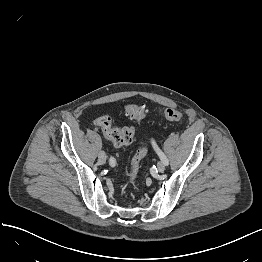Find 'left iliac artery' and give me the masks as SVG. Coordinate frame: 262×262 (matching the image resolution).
<instances>
[{"mask_svg":"<svg viewBox=\"0 0 262 262\" xmlns=\"http://www.w3.org/2000/svg\"><path fill=\"white\" fill-rule=\"evenodd\" d=\"M154 150L156 151V153L158 154V156L160 157V159L166 164L168 165V159L167 157L165 156V154L161 151V149L155 145L154 146Z\"/></svg>","mask_w":262,"mask_h":262,"instance_id":"44dca946","label":"left iliac artery"}]
</instances>
